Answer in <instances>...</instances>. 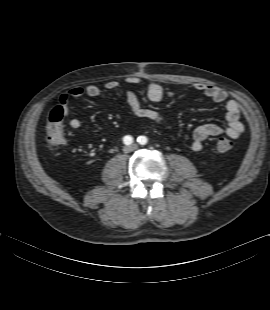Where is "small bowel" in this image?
I'll use <instances>...</instances> for the list:
<instances>
[{"mask_svg": "<svg viewBox=\"0 0 270 310\" xmlns=\"http://www.w3.org/2000/svg\"><path fill=\"white\" fill-rule=\"evenodd\" d=\"M129 84L139 85L141 79L138 77H129L126 80ZM119 88V83L113 80L107 81L104 84L105 90H115ZM195 90L202 93L204 96L216 103H222L226 110L227 127L223 128L214 123H206L195 128L193 132V141L191 149L193 151H200L202 149L203 141L210 137H215L221 134H226L232 139L239 138L243 131L244 125L241 122V108L239 103L229 98L228 93L214 85L197 83L194 86ZM103 94V89L94 84L86 86H76L71 88L68 92L62 94L58 100V107L64 111V116L69 113L68 103L71 98H78L83 95L90 97H100ZM146 94L149 100L153 102H160L167 98L173 97L172 92L165 91L159 84L150 82L146 86ZM126 100L131 114L137 118L147 119L155 123H162V115L155 109L145 108L142 106L138 95L131 89L126 91ZM69 126L72 129L78 130L83 127L82 121L79 119H71Z\"/></svg>", "mask_w": 270, "mask_h": 310, "instance_id": "obj_1", "label": "small bowel"}]
</instances>
